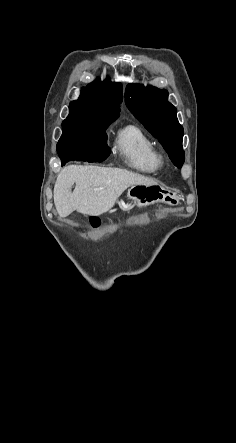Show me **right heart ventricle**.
<instances>
[{"mask_svg": "<svg viewBox=\"0 0 236 443\" xmlns=\"http://www.w3.org/2000/svg\"><path fill=\"white\" fill-rule=\"evenodd\" d=\"M114 146L129 168L142 173H153L158 170L155 143L139 126L129 124L120 128Z\"/></svg>", "mask_w": 236, "mask_h": 443, "instance_id": "e07e8e85", "label": "right heart ventricle"}]
</instances>
